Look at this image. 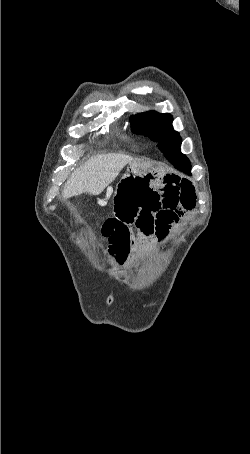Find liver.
<instances>
[{
  "mask_svg": "<svg viewBox=\"0 0 250 454\" xmlns=\"http://www.w3.org/2000/svg\"><path fill=\"white\" fill-rule=\"evenodd\" d=\"M133 157L121 153H108L92 157L77 168L65 183L62 198L89 193L99 195L112 183Z\"/></svg>",
  "mask_w": 250,
  "mask_h": 454,
  "instance_id": "6515ba94",
  "label": "liver"
}]
</instances>
